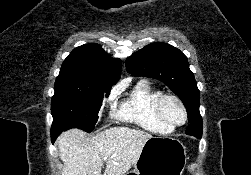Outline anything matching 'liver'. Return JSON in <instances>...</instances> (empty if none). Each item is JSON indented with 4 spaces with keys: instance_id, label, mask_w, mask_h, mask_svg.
Returning a JSON list of instances; mask_svg holds the SVG:
<instances>
[{
    "instance_id": "6515ba94",
    "label": "liver",
    "mask_w": 251,
    "mask_h": 175,
    "mask_svg": "<svg viewBox=\"0 0 251 175\" xmlns=\"http://www.w3.org/2000/svg\"><path fill=\"white\" fill-rule=\"evenodd\" d=\"M152 137L147 131L130 127H109L94 137H87L82 129H68L57 137L60 159L64 163L63 175H124L142 147ZM107 157V159H104Z\"/></svg>"
}]
</instances>
